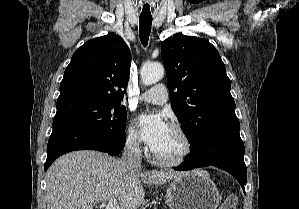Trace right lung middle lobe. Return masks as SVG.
Listing matches in <instances>:
<instances>
[{
    "label": "right lung middle lobe",
    "instance_id": "right-lung-middle-lobe-1",
    "mask_svg": "<svg viewBox=\"0 0 299 209\" xmlns=\"http://www.w3.org/2000/svg\"><path fill=\"white\" fill-rule=\"evenodd\" d=\"M126 109L119 103L74 101L57 104L53 122L67 120L94 130L123 133Z\"/></svg>",
    "mask_w": 299,
    "mask_h": 209
}]
</instances>
